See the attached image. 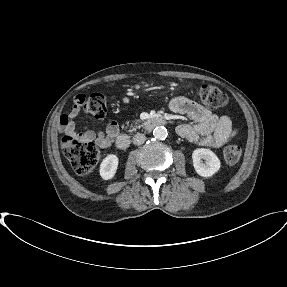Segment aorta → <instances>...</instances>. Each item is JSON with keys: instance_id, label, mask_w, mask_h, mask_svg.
Listing matches in <instances>:
<instances>
[{"instance_id": "aorta-1", "label": "aorta", "mask_w": 287, "mask_h": 287, "mask_svg": "<svg viewBox=\"0 0 287 287\" xmlns=\"http://www.w3.org/2000/svg\"><path fill=\"white\" fill-rule=\"evenodd\" d=\"M167 135V129L163 126H158L153 130V136L158 140L166 139Z\"/></svg>"}]
</instances>
